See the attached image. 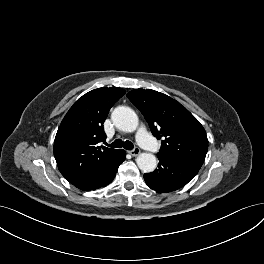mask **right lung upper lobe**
Here are the masks:
<instances>
[{
    "instance_id": "cb5924a9",
    "label": "right lung upper lobe",
    "mask_w": 264,
    "mask_h": 264,
    "mask_svg": "<svg viewBox=\"0 0 264 264\" xmlns=\"http://www.w3.org/2000/svg\"><path fill=\"white\" fill-rule=\"evenodd\" d=\"M124 94L125 90L117 87L92 90L80 97L65 115L55 137L54 156L68 181L119 151L99 143L106 140L103 123L110 108Z\"/></svg>"
}]
</instances>
